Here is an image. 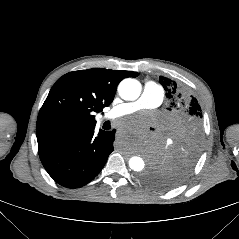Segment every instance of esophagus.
Here are the masks:
<instances>
[{"mask_svg": "<svg viewBox=\"0 0 239 239\" xmlns=\"http://www.w3.org/2000/svg\"><path fill=\"white\" fill-rule=\"evenodd\" d=\"M115 139H116L117 141H122V140L124 139V134H123L122 132H117V133L115 134Z\"/></svg>", "mask_w": 239, "mask_h": 239, "instance_id": "esophagus-1", "label": "esophagus"}]
</instances>
